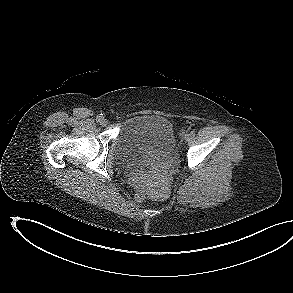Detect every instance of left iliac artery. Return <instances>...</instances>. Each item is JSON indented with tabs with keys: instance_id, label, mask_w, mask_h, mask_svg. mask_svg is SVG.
<instances>
[{
	"instance_id": "1",
	"label": "left iliac artery",
	"mask_w": 293,
	"mask_h": 293,
	"mask_svg": "<svg viewBox=\"0 0 293 293\" xmlns=\"http://www.w3.org/2000/svg\"><path fill=\"white\" fill-rule=\"evenodd\" d=\"M190 136H195V131H194V130H192V131L190 132Z\"/></svg>"
}]
</instances>
